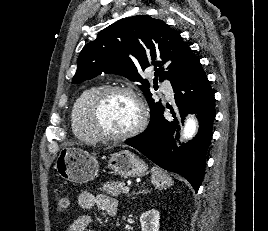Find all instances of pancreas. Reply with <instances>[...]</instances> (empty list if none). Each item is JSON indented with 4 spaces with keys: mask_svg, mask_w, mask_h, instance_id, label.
Here are the masks:
<instances>
[{
    "mask_svg": "<svg viewBox=\"0 0 268 231\" xmlns=\"http://www.w3.org/2000/svg\"><path fill=\"white\" fill-rule=\"evenodd\" d=\"M123 187L124 182L112 181L104 183L103 186L100 188V190L106 192L107 194H110L111 196L117 197L122 193Z\"/></svg>",
    "mask_w": 268,
    "mask_h": 231,
    "instance_id": "1",
    "label": "pancreas"
}]
</instances>
